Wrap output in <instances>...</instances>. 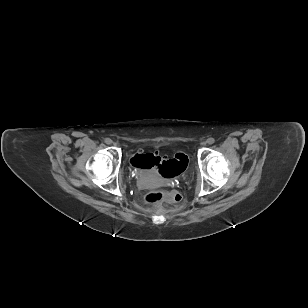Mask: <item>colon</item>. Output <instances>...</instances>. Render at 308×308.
Returning <instances> with one entry per match:
<instances>
[{"instance_id":"colon-1","label":"colon","mask_w":308,"mask_h":308,"mask_svg":"<svg viewBox=\"0 0 308 308\" xmlns=\"http://www.w3.org/2000/svg\"><path fill=\"white\" fill-rule=\"evenodd\" d=\"M188 159L182 153H177L174 159H161L155 154H137L132 159L135 167L142 169L158 168L159 173L166 178L179 175L187 166ZM182 197L176 190L152 191L145 196V201L150 204H158L163 201L179 203Z\"/></svg>"}]
</instances>
